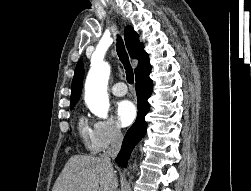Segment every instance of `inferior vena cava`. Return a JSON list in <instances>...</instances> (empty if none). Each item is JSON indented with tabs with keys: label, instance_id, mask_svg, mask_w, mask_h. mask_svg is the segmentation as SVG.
Returning a JSON list of instances; mask_svg holds the SVG:
<instances>
[{
	"label": "inferior vena cava",
	"instance_id": "1",
	"mask_svg": "<svg viewBox=\"0 0 251 191\" xmlns=\"http://www.w3.org/2000/svg\"><path fill=\"white\" fill-rule=\"evenodd\" d=\"M122 139L123 135L121 133L120 125H118V123H115L112 131V143L109 149H107V151H104L103 155H101L102 161H104V163H108L110 167L111 159H114L118 151H120L121 149ZM113 181H117V177H114Z\"/></svg>",
	"mask_w": 251,
	"mask_h": 191
}]
</instances>
